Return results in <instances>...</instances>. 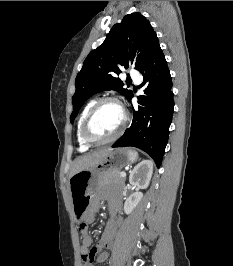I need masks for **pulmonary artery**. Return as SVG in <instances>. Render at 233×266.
I'll return each instance as SVG.
<instances>
[{"label":"pulmonary artery","mask_w":233,"mask_h":266,"mask_svg":"<svg viewBox=\"0 0 233 266\" xmlns=\"http://www.w3.org/2000/svg\"><path fill=\"white\" fill-rule=\"evenodd\" d=\"M130 76L135 82L140 81V74L137 71H131Z\"/></svg>","instance_id":"1"}]
</instances>
